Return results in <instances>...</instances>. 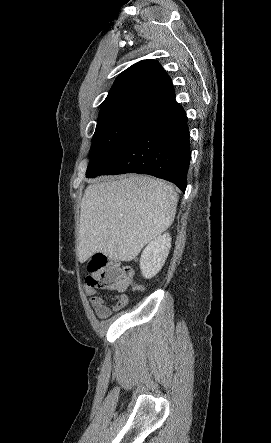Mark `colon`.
I'll return each instance as SVG.
<instances>
[{"mask_svg": "<svg viewBox=\"0 0 271 443\" xmlns=\"http://www.w3.org/2000/svg\"><path fill=\"white\" fill-rule=\"evenodd\" d=\"M86 284L92 288L124 292L133 286V270L116 260L97 258L90 264Z\"/></svg>", "mask_w": 271, "mask_h": 443, "instance_id": "1", "label": "colon"}]
</instances>
